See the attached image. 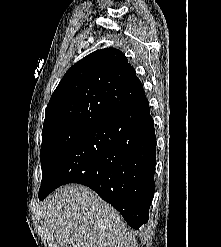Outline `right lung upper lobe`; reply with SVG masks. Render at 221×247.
Masks as SVG:
<instances>
[{
  "label": "right lung upper lobe",
  "mask_w": 221,
  "mask_h": 247,
  "mask_svg": "<svg viewBox=\"0 0 221 247\" xmlns=\"http://www.w3.org/2000/svg\"><path fill=\"white\" fill-rule=\"evenodd\" d=\"M145 98L125 55L115 48L97 50L66 72L45 110L43 130L73 123L95 126Z\"/></svg>",
  "instance_id": "right-lung-upper-lobe-1"
}]
</instances>
